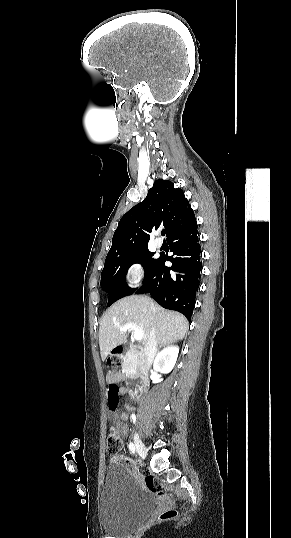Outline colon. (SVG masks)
<instances>
[{
	"instance_id": "colon-1",
	"label": "colon",
	"mask_w": 291,
	"mask_h": 538,
	"mask_svg": "<svg viewBox=\"0 0 291 538\" xmlns=\"http://www.w3.org/2000/svg\"><path fill=\"white\" fill-rule=\"evenodd\" d=\"M122 363V358L116 354H112L108 357V364L113 367H120ZM120 400V394H119V387L116 384H109L108 385V404L111 409H115L119 403ZM123 446V439L118 435L117 431L113 429L108 437L107 441V453L110 456H115L119 453V451L122 449ZM140 473L144 476L146 485L150 491L153 493L163 496L166 494V491L163 487L162 480L152 474H149L145 470H140ZM176 513L173 510H167L163 512L160 516V520H165L168 518H171L175 516Z\"/></svg>"
}]
</instances>
